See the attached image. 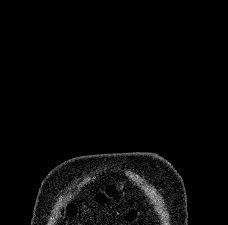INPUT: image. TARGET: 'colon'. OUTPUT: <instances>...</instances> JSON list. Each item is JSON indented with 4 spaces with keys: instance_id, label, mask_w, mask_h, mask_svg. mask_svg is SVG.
<instances>
[{
    "instance_id": "1",
    "label": "colon",
    "mask_w": 228,
    "mask_h": 225,
    "mask_svg": "<svg viewBox=\"0 0 228 225\" xmlns=\"http://www.w3.org/2000/svg\"><path fill=\"white\" fill-rule=\"evenodd\" d=\"M118 192H119V189L117 187H109L104 191L100 192L99 194H97L95 197V200L96 202L101 203L106 199V197H113ZM65 212L69 216H75L78 212H80V210L74 206H69Z\"/></svg>"
}]
</instances>
